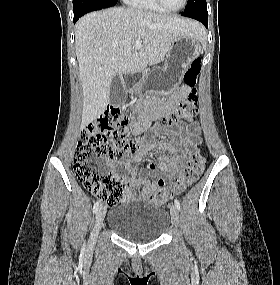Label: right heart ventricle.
Returning a JSON list of instances; mask_svg holds the SVG:
<instances>
[{
	"label": "right heart ventricle",
	"instance_id": "obj_1",
	"mask_svg": "<svg viewBox=\"0 0 280 285\" xmlns=\"http://www.w3.org/2000/svg\"><path fill=\"white\" fill-rule=\"evenodd\" d=\"M127 3L136 9L148 11V12H156V13H164L165 11L159 7L155 0H126Z\"/></svg>",
	"mask_w": 280,
	"mask_h": 285
}]
</instances>
